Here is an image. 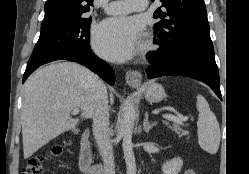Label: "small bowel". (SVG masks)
Returning a JSON list of instances; mask_svg holds the SVG:
<instances>
[{
  "instance_id": "obj_1",
  "label": "small bowel",
  "mask_w": 249,
  "mask_h": 174,
  "mask_svg": "<svg viewBox=\"0 0 249 174\" xmlns=\"http://www.w3.org/2000/svg\"><path fill=\"white\" fill-rule=\"evenodd\" d=\"M184 174H195V171L193 169H187Z\"/></svg>"
}]
</instances>
